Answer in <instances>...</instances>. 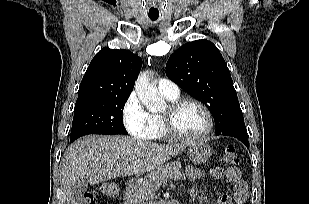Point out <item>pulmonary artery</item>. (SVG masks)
<instances>
[{
  "mask_svg": "<svg viewBox=\"0 0 309 204\" xmlns=\"http://www.w3.org/2000/svg\"><path fill=\"white\" fill-rule=\"evenodd\" d=\"M157 89L164 96L178 97L179 95L178 86L173 81L166 78L157 80Z\"/></svg>",
  "mask_w": 309,
  "mask_h": 204,
  "instance_id": "e3ab8cb5",
  "label": "pulmonary artery"
}]
</instances>
